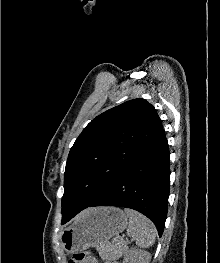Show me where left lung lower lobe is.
Instances as JSON below:
<instances>
[{"mask_svg":"<svg viewBox=\"0 0 220 263\" xmlns=\"http://www.w3.org/2000/svg\"><path fill=\"white\" fill-rule=\"evenodd\" d=\"M169 156L162 128L88 207L118 206L139 211L153 221L161 237L168 207ZM79 212L67 214L62 224Z\"/></svg>","mask_w":220,"mask_h":263,"instance_id":"1","label":"left lung lower lobe"}]
</instances>
